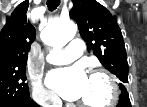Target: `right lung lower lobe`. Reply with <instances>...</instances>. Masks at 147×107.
<instances>
[{"label": "right lung lower lobe", "mask_w": 147, "mask_h": 107, "mask_svg": "<svg viewBox=\"0 0 147 107\" xmlns=\"http://www.w3.org/2000/svg\"><path fill=\"white\" fill-rule=\"evenodd\" d=\"M8 107H39L31 98L19 100L10 104Z\"/></svg>", "instance_id": "obj_1"}]
</instances>
